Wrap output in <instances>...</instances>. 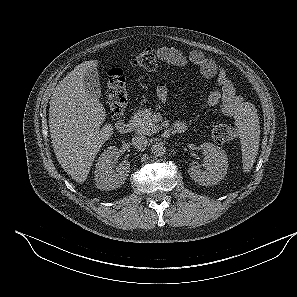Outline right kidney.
Masks as SVG:
<instances>
[{"mask_svg":"<svg viewBox=\"0 0 297 297\" xmlns=\"http://www.w3.org/2000/svg\"><path fill=\"white\" fill-rule=\"evenodd\" d=\"M118 148L110 146L100 155L96 163L95 184L100 190H113L124 184L130 171V163L127 160L122 161L115 168L113 159L116 156Z\"/></svg>","mask_w":297,"mask_h":297,"instance_id":"ca27d5eb","label":"right kidney"}]
</instances>
